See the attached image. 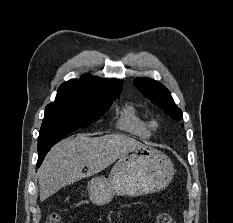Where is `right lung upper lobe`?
Listing matches in <instances>:
<instances>
[{"mask_svg":"<svg viewBox=\"0 0 233 223\" xmlns=\"http://www.w3.org/2000/svg\"><path fill=\"white\" fill-rule=\"evenodd\" d=\"M122 81L103 80L88 75L61 84L56 100H73L86 103H112L120 94Z\"/></svg>","mask_w":233,"mask_h":223,"instance_id":"1","label":"right lung upper lobe"}]
</instances>
